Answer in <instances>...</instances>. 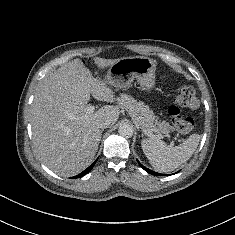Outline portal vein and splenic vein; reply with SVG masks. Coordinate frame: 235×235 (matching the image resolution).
Instances as JSON below:
<instances>
[{
  "instance_id": "portal-vein-and-splenic-vein-1",
  "label": "portal vein and splenic vein",
  "mask_w": 235,
  "mask_h": 235,
  "mask_svg": "<svg viewBox=\"0 0 235 235\" xmlns=\"http://www.w3.org/2000/svg\"><path fill=\"white\" fill-rule=\"evenodd\" d=\"M94 112V106H88L87 107V113L91 114ZM71 119H77L75 116H71ZM141 130L143 131L144 134L148 135V136H152V137H162V135L159 136H155L153 134H151L150 132L146 131L144 128L141 127ZM174 145V141L171 140L170 141V147H172Z\"/></svg>"
}]
</instances>
